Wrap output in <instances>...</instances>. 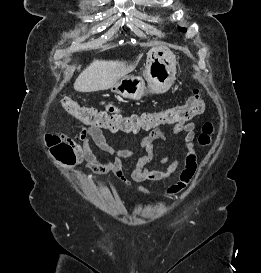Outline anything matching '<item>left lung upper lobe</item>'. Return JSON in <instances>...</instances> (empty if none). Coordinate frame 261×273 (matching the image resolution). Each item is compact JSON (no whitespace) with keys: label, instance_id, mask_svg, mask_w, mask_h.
Returning <instances> with one entry per match:
<instances>
[{"label":"left lung upper lobe","instance_id":"left-lung-upper-lobe-1","mask_svg":"<svg viewBox=\"0 0 261 273\" xmlns=\"http://www.w3.org/2000/svg\"><path fill=\"white\" fill-rule=\"evenodd\" d=\"M179 30H180V31H183V32H185V31H186V29H185V28H179Z\"/></svg>","mask_w":261,"mask_h":273}]
</instances>
